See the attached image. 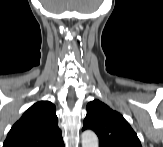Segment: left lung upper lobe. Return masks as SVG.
Here are the masks:
<instances>
[{
  "label": "left lung upper lobe",
  "instance_id": "obj_1",
  "mask_svg": "<svg viewBox=\"0 0 163 147\" xmlns=\"http://www.w3.org/2000/svg\"><path fill=\"white\" fill-rule=\"evenodd\" d=\"M91 129L99 137V147H142L137 134L124 117L99 100L87 104L82 130Z\"/></svg>",
  "mask_w": 163,
  "mask_h": 147
}]
</instances>
